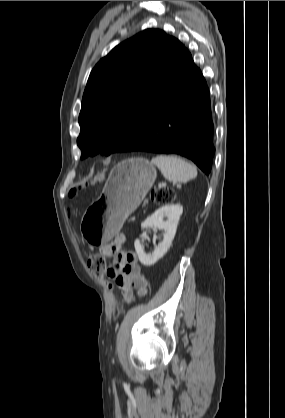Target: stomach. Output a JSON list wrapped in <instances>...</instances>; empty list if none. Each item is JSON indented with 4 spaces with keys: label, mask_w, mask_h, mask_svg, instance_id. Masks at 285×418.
I'll return each mask as SVG.
<instances>
[{
    "label": "stomach",
    "mask_w": 285,
    "mask_h": 418,
    "mask_svg": "<svg viewBox=\"0 0 285 418\" xmlns=\"http://www.w3.org/2000/svg\"><path fill=\"white\" fill-rule=\"evenodd\" d=\"M156 177L155 167L145 158H129L114 166L102 195L82 218L84 239L93 245L111 240L140 205Z\"/></svg>",
    "instance_id": "obj_1"
}]
</instances>
